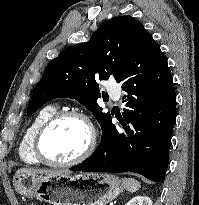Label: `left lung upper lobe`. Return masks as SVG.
<instances>
[{
    "instance_id": "left-lung-upper-lobe-1",
    "label": "left lung upper lobe",
    "mask_w": 199,
    "mask_h": 205,
    "mask_svg": "<svg viewBox=\"0 0 199 205\" xmlns=\"http://www.w3.org/2000/svg\"><path fill=\"white\" fill-rule=\"evenodd\" d=\"M144 30L135 18L118 16L104 22L88 42L64 49L35 86L27 115L52 99L69 97L90 110L103 131L112 118L97 103L101 93L96 80L114 76L120 82L122 70Z\"/></svg>"
}]
</instances>
